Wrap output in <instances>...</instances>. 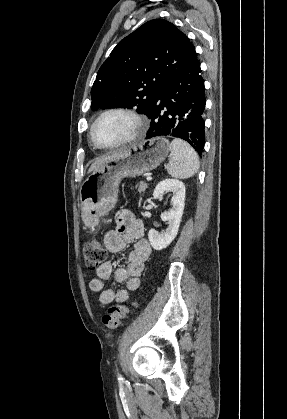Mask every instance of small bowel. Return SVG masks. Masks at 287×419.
Masks as SVG:
<instances>
[{"label":"small bowel","instance_id":"1","mask_svg":"<svg viewBox=\"0 0 287 419\" xmlns=\"http://www.w3.org/2000/svg\"><path fill=\"white\" fill-rule=\"evenodd\" d=\"M104 244L112 253L123 251L129 243L134 242V248L128 256L126 267L113 269L110 262L101 265L97 276L90 281V289L99 292V305L105 307L113 301L125 302L129 294L138 290L140 275L144 271L145 263L150 256L151 246L144 238V225L134 215L122 210L116 215V227L104 235ZM111 275L116 282H125V287L119 290L104 288V283Z\"/></svg>","mask_w":287,"mask_h":419}]
</instances>
